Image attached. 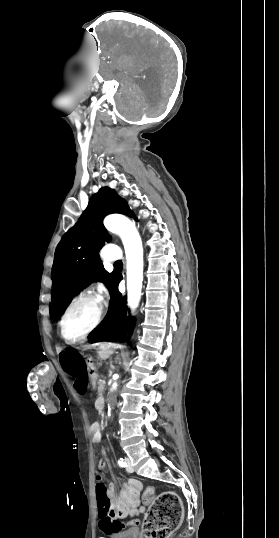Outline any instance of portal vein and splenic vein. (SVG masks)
<instances>
[{"mask_svg": "<svg viewBox=\"0 0 279 538\" xmlns=\"http://www.w3.org/2000/svg\"><path fill=\"white\" fill-rule=\"evenodd\" d=\"M101 383H107V380H101Z\"/></svg>", "mask_w": 279, "mask_h": 538, "instance_id": "18ae733b", "label": "portal vein and splenic vein"}]
</instances>
